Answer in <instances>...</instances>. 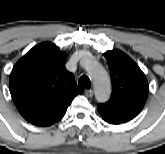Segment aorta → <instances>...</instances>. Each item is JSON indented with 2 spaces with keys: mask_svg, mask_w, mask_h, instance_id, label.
Segmentation results:
<instances>
[{
  "mask_svg": "<svg viewBox=\"0 0 165 154\" xmlns=\"http://www.w3.org/2000/svg\"><path fill=\"white\" fill-rule=\"evenodd\" d=\"M86 70L95 87V97L99 102H105L110 97V79L106 70L97 62L89 61Z\"/></svg>",
  "mask_w": 165,
  "mask_h": 154,
  "instance_id": "obj_1",
  "label": "aorta"
}]
</instances>
